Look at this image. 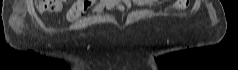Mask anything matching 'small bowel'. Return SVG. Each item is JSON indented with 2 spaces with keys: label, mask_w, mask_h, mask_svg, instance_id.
<instances>
[{
  "label": "small bowel",
  "mask_w": 238,
  "mask_h": 70,
  "mask_svg": "<svg viewBox=\"0 0 238 70\" xmlns=\"http://www.w3.org/2000/svg\"><path fill=\"white\" fill-rule=\"evenodd\" d=\"M150 2L149 0H98L93 4L88 0H78L70 8L67 17L69 21H76L91 5H93L92 13H100L104 9L123 12L132 9L133 6L140 7ZM173 7L180 8L181 4L175 2Z\"/></svg>",
  "instance_id": "small-bowel-1"
}]
</instances>
